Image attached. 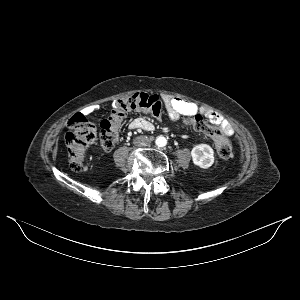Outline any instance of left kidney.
Listing matches in <instances>:
<instances>
[{"label": "left kidney", "instance_id": "1", "mask_svg": "<svg viewBox=\"0 0 300 300\" xmlns=\"http://www.w3.org/2000/svg\"><path fill=\"white\" fill-rule=\"evenodd\" d=\"M193 163L200 168L208 169L214 163V151L208 144H198L191 151Z\"/></svg>", "mask_w": 300, "mask_h": 300}]
</instances>
